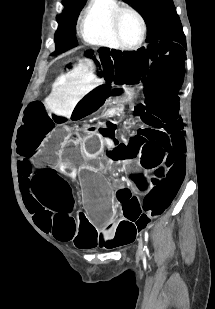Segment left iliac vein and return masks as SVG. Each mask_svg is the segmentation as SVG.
I'll return each instance as SVG.
<instances>
[{
  "label": "left iliac vein",
  "instance_id": "1",
  "mask_svg": "<svg viewBox=\"0 0 215 309\" xmlns=\"http://www.w3.org/2000/svg\"><path fill=\"white\" fill-rule=\"evenodd\" d=\"M138 255L142 256L143 255V239L139 238L138 240Z\"/></svg>",
  "mask_w": 215,
  "mask_h": 309
}]
</instances>
